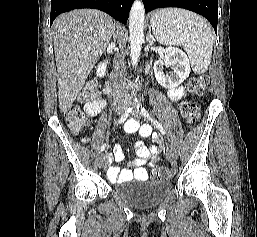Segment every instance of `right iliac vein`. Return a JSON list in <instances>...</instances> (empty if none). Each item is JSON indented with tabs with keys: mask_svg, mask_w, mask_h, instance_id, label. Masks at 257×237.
Wrapping results in <instances>:
<instances>
[{
	"mask_svg": "<svg viewBox=\"0 0 257 237\" xmlns=\"http://www.w3.org/2000/svg\"><path fill=\"white\" fill-rule=\"evenodd\" d=\"M124 109H125L124 107H118L116 109V112L118 114H122ZM105 163H106V155L105 154H101L99 159H98V166H99V168H103Z\"/></svg>",
	"mask_w": 257,
	"mask_h": 237,
	"instance_id": "63e3f726",
	"label": "right iliac vein"
}]
</instances>
